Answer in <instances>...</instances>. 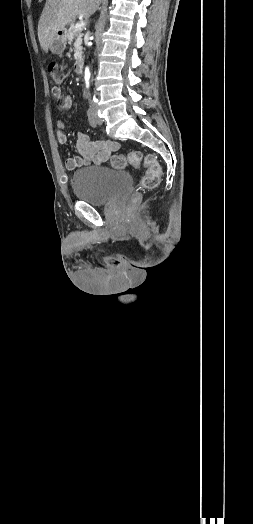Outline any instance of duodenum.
Listing matches in <instances>:
<instances>
[{
  "instance_id": "obj_1",
  "label": "duodenum",
  "mask_w": 253,
  "mask_h": 524,
  "mask_svg": "<svg viewBox=\"0 0 253 524\" xmlns=\"http://www.w3.org/2000/svg\"><path fill=\"white\" fill-rule=\"evenodd\" d=\"M75 72L76 73H82L83 70V60L81 58L77 59L74 64Z\"/></svg>"
}]
</instances>
